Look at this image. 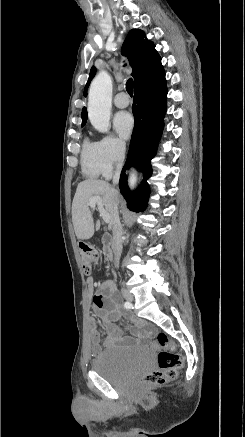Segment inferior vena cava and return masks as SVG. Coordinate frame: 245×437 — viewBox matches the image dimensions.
Returning a JSON list of instances; mask_svg holds the SVG:
<instances>
[{
  "mask_svg": "<svg viewBox=\"0 0 245 437\" xmlns=\"http://www.w3.org/2000/svg\"><path fill=\"white\" fill-rule=\"evenodd\" d=\"M125 158V145L122 143L119 145L118 154H117V165L116 171L113 176V184L119 183L120 173L123 166V161ZM122 225L119 218L118 212V202L114 201V220H113V238L111 241V248L114 253V264L115 267H118L120 256L122 253Z\"/></svg>",
  "mask_w": 245,
  "mask_h": 437,
  "instance_id": "inferior-vena-cava-1",
  "label": "inferior vena cava"
}]
</instances>
